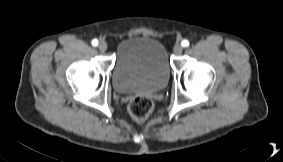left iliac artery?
<instances>
[{"label": "left iliac artery", "instance_id": "44dca946", "mask_svg": "<svg viewBox=\"0 0 283 162\" xmlns=\"http://www.w3.org/2000/svg\"><path fill=\"white\" fill-rule=\"evenodd\" d=\"M181 44L183 47H187L189 45V42L188 40H183Z\"/></svg>", "mask_w": 283, "mask_h": 162}]
</instances>
